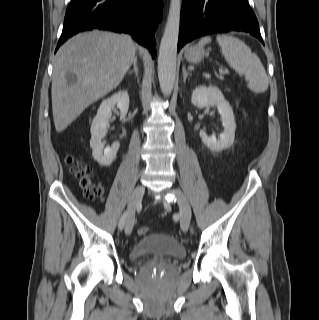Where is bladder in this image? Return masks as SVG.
Returning a JSON list of instances; mask_svg holds the SVG:
<instances>
[{"mask_svg": "<svg viewBox=\"0 0 319 320\" xmlns=\"http://www.w3.org/2000/svg\"><path fill=\"white\" fill-rule=\"evenodd\" d=\"M150 253L181 259L186 255V249L174 238L161 233L152 232L142 237L131 251L132 261H138Z\"/></svg>", "mask_w": 319, "mask_h": 320, "instance_id": "bladder-1", "label": "bladder"}]
</instances>
